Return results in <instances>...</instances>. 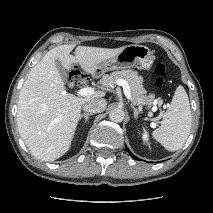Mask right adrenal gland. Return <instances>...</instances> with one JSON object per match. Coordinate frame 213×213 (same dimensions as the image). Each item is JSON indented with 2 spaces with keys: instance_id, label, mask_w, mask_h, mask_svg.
I'll return each instance as SVG.
<instances>
[{
  "instance_id": "1",
  "label": "right adrenal gland",
  "mask_w": 213,
  "mask_h": 213,
  "mask_svg": "<svg viewBox=\"0 0 213 213\" xmlns=\"http://www.w3.org/2000/svg\"><path fill=\"white\" fill-rule=\"evenodd\" d=\"M92 115H93L92 113H84V114H82L80 116L79 120H81L82 118H84L85 119L84 123H86L88 121V119H89V116H92Z\"/></svg>"
}]
</instances>
